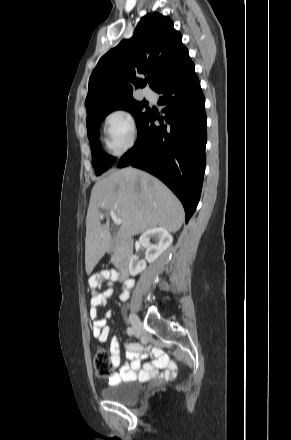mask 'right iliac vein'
I'll use <instances>...</instances> for the list:
<instances>
[{"mask_svg":"<svg viewBox=\"0 0 291 440\" xmlns=\"http://www.w3.org/2000/svg\"><path fill=\"white\" fill-rule=\"evenodd\" d=\"M129 319H130V323L134 329L136 336L140 337L141 331H142V323H141L140 319L135 314H130Z\"/></svg>","mask_w":291,"mask_h":440,"instance_id":"63e3f726","label":"right iliac vein"}]
</instances>
